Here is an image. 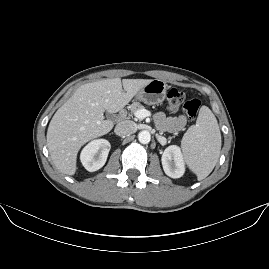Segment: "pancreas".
Segmentation results:
<instances>
[{"mask_svg": "<svg viewBox=\"0 0 269 269\" xmlns=\"http://www.w3.org/2000/svg\"><path fill=\"white\" fill-rule=\"evenodd\" d=\"M128 109L131 111V113H135L137 110L144 109V106L139 102H133Z\"/></svg>", "mask_w": 269, "mask_h": 269, "instance_id": "pancreas-1", "label": "pancreas"}]
</instances>
